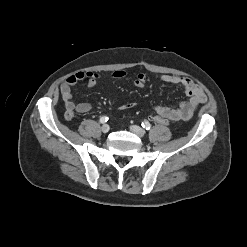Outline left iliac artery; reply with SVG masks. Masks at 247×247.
I'll use <instances>...</instances> for the list:
<instances>
[{"instance_id": "44dca946", "label": "left iliac artery", "mask_w": 247, "mask_h": 247, "mask_svg": "<svg viewBox=\"0 0 247 247\" xmlns=\"http://www.w3.org/2000/svg\"><path fill=\"white\" fill-rule=\"evenodd\" d=\"M141 125H142V127L145 128L146 130H150V128H151V124H150L148 121H146V120L143 121Z\"/></svg>"}]
</instances>
